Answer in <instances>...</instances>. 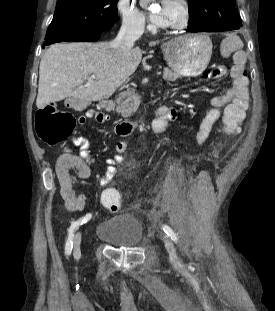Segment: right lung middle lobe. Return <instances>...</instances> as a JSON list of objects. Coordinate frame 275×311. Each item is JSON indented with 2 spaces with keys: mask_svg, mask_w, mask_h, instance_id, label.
<instances>
[{
  "mask_svg": "<svg viewBox=\"0 0 275 311\" xmlns=\"http://www.w3.org/2000/svg\"><path fill=\"white\" fill-rule=\"evenodd\" d=\"M118 0H58L45 41L62 39L72 34L111 28L117 17Z\"/></svg>",
  "mask_w": 275,
  "mask_h": 311,
  "instance_id": "right-lung-middle-lobe-1",
  "label": "right lung middle lobe"
}]
</instances>
